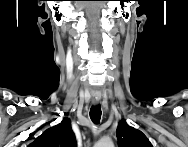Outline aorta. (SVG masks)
Instances as JSON below:
<instances>
[{"instance_id":"obj_1","label":"aorta","mask_w":188,"mask_h":147,"mask_svg":"<svg viewBox=\"0 0 188 147\" xmlns=\"http://www.w3.org/2000/svg\"><path fill=\"white\" fill-rule=\"evenodd\" d=\"M98 147H113V142L110 139H102L97 144Z\"/></svg>"}]
</instances>
